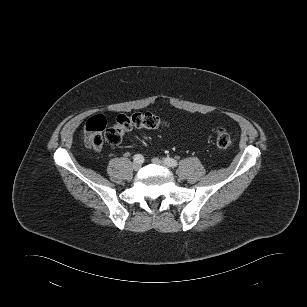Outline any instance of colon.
Wrapping results in <instances>:
<instances>
[{
    "label": "colon",
    "instance_id": "5ec220e1",
    "mask_svg": "<svg viewBox=\"0 0 307 307\" xmlns=\"http://www.w3.org/2000/svg\"><path fill=\"white\" fill-rule=\"evenodd\" d=\"M164 122L150 112L119 115L115 124L106 129V119L102 115L91 117L84 127L85 142L89 147L99 149L104 141L110 145H118L124 135L132 129H158ZM233 143L231 135L223 128L217 130L216 145L220 149H227Z\"/></svg>",
    "mask_w": 307,
    "mask_h": 307
}]
</instances>
